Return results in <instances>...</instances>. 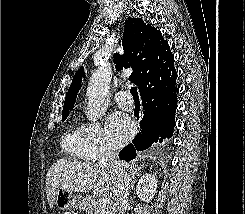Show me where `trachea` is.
<instances>
[{
    "label": "trachea",
    "instance_id": "1",
    "mask_svg": "<svg viewBox=\"0 0 245 214\" xmlns=\"http://www.w3.org/2000/svg\"><path fill=\"white\" fill-rule=\"evenodd\" d=\"M130 92H131V94L133 96V99H134L135 103H140L137 88L136 87H131Z\"/></svg>",
    "mask_w": 245,
    "mask_h": 214
}]
</instances>
